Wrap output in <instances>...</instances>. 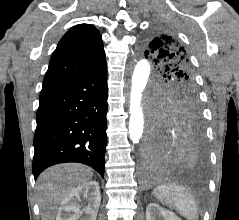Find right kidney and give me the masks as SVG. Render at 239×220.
Instances as JSON below:
<instances>
[{"instance_id":"obj_1","label":"right kidney","mask_w":239,"mask_h":220,"mask_svg":"<svg viewBox=\"0 0 239 220\" xmlns=\"http://www.w3.org/2000/svg\"><path fill=\"white\" fill-rule=\"evenodd\" d=\"M88 205L81 210V199ZM101 203L100 187L96 181H89L75 187L62 201L56 220H96ZM83 213V216L80 215Z\"/></svg>"}]
</instances>
